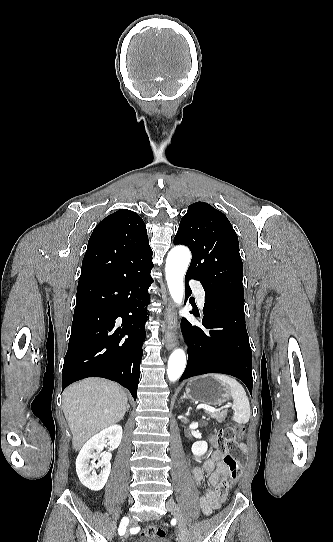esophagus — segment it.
Wrapping results in <instances>:
<instances>
[{
    "label": "esophagus",
    "instance_id": "obj_1",
    "mask_svg": "<svg viewBox=\"0 0 333 542\" xmlns=\"http://www.w3.org/2000/svg\"><path fill=\"white\" fill-rule=\"evenodd\" d=\"M177 341V318L176 309L173 303L168 304L166 311V331H165V344L168 350L175 347Z\"/></svg>",
    "mask_w": 333,
    "mask_h": 542
}]
</instances>
